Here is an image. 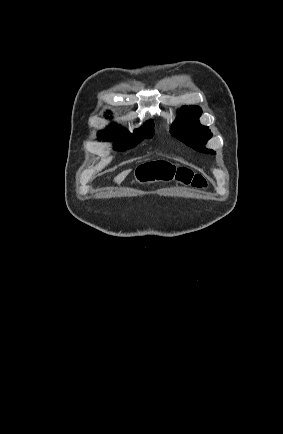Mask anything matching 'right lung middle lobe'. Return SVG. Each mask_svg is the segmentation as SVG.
I'll return each mask as SVG.
<instances>
[{
    "mask_svg": "<svg viewBox=\"0 0 283 434\" xmlns=\"http://www.w3.org/2000/svg\"><path fill=\"white\" fill-rule=\"evenodd\" d=\"M153 127L154 124H146L135 130L133 134H130L125 129L100 131L98 137L104 141L112 140L116 150L124 151L142 141L143 137L151 138L154 134Z\"/></svg>",
    "mask_w": 283,
    "mask_h": 434,
    "instance_id": "right-lung-middle-lobe-1",
    "label": "right lung middle lobe"
}]
</instances>
